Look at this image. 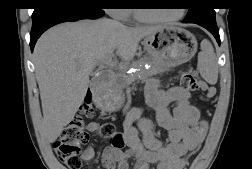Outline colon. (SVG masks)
Returning <instances> with one entry per match:
<instances>
[{
	"label": "colon",
	"mask_w": 252,
	"mask_h": 169,
	"mask_svg": "<svg viewBox=\"0 0 252 169\" xmlns=\"http://www.w3.org/2000/svg\"><path fill=\"white\" fill-rule=\"evenodd\" d=\"M181 87L187 91L201 89L206 93L208 99L214 95V90L206 84L201 83L193 72H186L181 77ZM94 115L91 98L88 96L82 105L80 113L64 127L59 138L54 143L55 152L61 162L69 169H82L84 166L83 145L88 141V133L85 130L83 117L91 118ZM99 134L103 138L111 140V144L121 148L123 146L122 135L116 131L112 123L101 124Z\"/></svg>",
	"instance_id": "1"
}]
</instances>
